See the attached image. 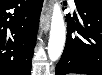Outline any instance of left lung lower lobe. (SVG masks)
<instances>
[{"mask_svg":"<svg viewBox=\"0 0 102 75\" xmlns=\"http://www.w3.org/2000/svg\"><path fill=\"white\" fill-rule=\"evenodd\" d=\"M75 4L83 24L75 13L73 20L67 17L66 44L55 75H102V4L85 0Z\"/></svg>","mask_w":102,"mask_h":75,"instance_id":"left-lung-lower-lobe-1","label":"left lung lower lobe"}]
</instances>
